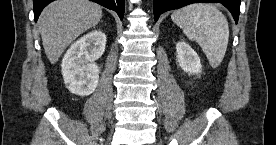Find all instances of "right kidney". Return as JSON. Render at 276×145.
Wrapping results in <instances>:
<instances>
[{
  "mask_svg": "<svg viewBox=\"0 0 276 145\" xmlns=\"http://www.w3.org/2000/svg\"><path fill=\"white\" fill-rule=\"evenodd\" d=\"M106 35L93 30L73 43L62 60V75L67 89L79 96L94 92L99 81L100 69L96 64L104 53Z\"/></svg>",
  "mask_w": 276,
  "mask_h": 145,
  "instance_id": "obj_1",
  "label": "right kidney"
}]
</instances>
